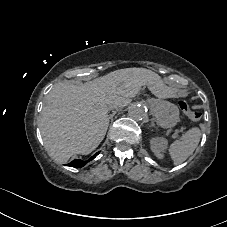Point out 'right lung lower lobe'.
<instances>
[{"label":"right lung lower lobe","instance_id":"98d812e1","mask_svg":"<svg viewBox=\"0 0 227 227\" xmlns=\"http://www.w3.org/2000/svg\"><path fill=\"white\" fill-rule=\"evenodd\" d=\"M99 154V152H97L96 154H94L89 160L87 161H83V160H73L71 163L67 164V166H71V167H75V168H81L83 167L87 162L93 160L97 155Z\"/></svg>","mask_w":227,"mask_h":227}]
</instances>
